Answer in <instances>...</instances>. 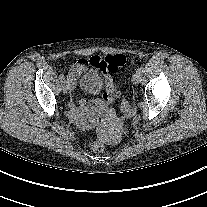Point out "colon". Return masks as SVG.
<instances>
[{
    "instance_id": "colon-1",
    "label": "colon",
    "mask_w": 207,
    "mask_h": 207,
    "mask_svg": "<svg viewBox=\"0 0 207 207\" xmlns=\"http://www.w3.org/2000/svg\"><path fill=\"white\" fill-rule=\"evenodd\" d=\"M95 66H97L106 75L115 74L119 72L126 64V59L122 55H115L105 59L93 60ZM121 110L125 115L131 114V105L127 97L121 100ZM90 148L95 152H102L104 150V144L99 139H92L89 143Z\"/></svg>"
}]
</instances>
